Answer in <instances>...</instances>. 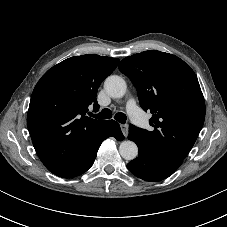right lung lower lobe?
Wrapping results in <instances>:
<instances>
[{
	"mask_svg": "<svg viewBox=\"0 0 227 227\" xmlns=\"http://www.w3.org/2000/svg\"><path fill=\"white\" fill-rule=\"evenodd\" d=\"M119 133H121L119 124L113 120H110L109 124L103 129V131L93 141V143L70 165L61 169L60 171L55 173V175L62 178H72L86 172L93 165L101 143L108 137H115Z\"/></svg>",
	"mask_w": 227,
	"mask_h": 227,
	"instance_id": "obj_1",
	"label": "right lung lower lobe"
}]
</instances>
